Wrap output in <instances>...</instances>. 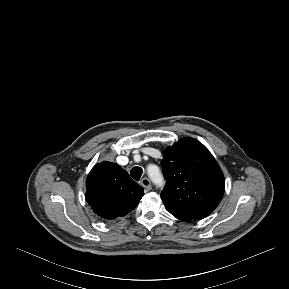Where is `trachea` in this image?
<instances>
[{"instance_id":"1","label":"trachea","mask_w":289,"mask_h":289,"mask_svg":"<svg viewBox=\"0 0 289 289\" xmlns=\"http://www.w3.org/2000/svg\"><path fill=\"white\" fill-rule=\"evenodd\" d=\"M142 173H143L142 168L136 166L132 168L130 175L134 180L139 181L142 176Z\"/></svg>"}]
</instances>
